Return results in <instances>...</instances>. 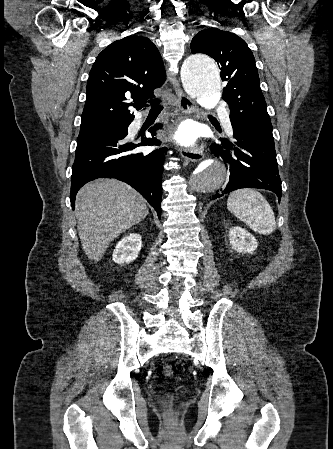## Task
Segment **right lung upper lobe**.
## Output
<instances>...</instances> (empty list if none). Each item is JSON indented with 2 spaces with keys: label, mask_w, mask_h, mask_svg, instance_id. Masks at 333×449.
I'll return each instance as SVG.
<instances>
[{
  "label": "right lung upper lobe",
  "mask_w": 333,
  "mask_h": 449,
  "mask_svg": "<svg viewBox=\"0 0 333 449\" xmlns=\"http://www.w3.org/2000/svg\"><path fill=\"white\" fill-rule=\"evenodd\" d=\"M165 78L161 55L150 39L131 35L114 41L90 71L80 129L131 121L128 107H146Z\"/></svg>",
  "instance_id": "1"
}]
</instances>
